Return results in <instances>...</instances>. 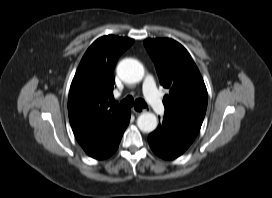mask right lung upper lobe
I'll list each match as a JSON object with an SVG mask.
<instances>
[{"instance_id":"1","label":"right lung upper lobe","mask_w":272,"mask_h":198,"mask_svg":"<svg viewBox=\"0 0 272 198\" xmlns=\"http://www.w3.org/2000/svg\"><path fill=\"white\" fill-rule=\"evenodd\" d=\"M134 40L107 35L97 39L84 54L68 98L70 124L79 144L92 139L126 108L114 103V67Z\"/></svg>"}]
</instances>
